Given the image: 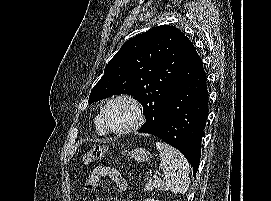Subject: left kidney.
<instances>
[{
	"mask_svg": "<svg viewBox=\"0 0 271 201\" xmlns=\"http://www.w3.org/2000/svg\"><path fill=\"white\" fill-rule=\"evenodd\" d=\"M144 201H159V200H153V199H146Z\"/></svg>",
	"mask_w": 271,
	"mask_h": 201,
	"instance_id": "5707ae66",
	"label": "left kidney"
}]
</instances>
